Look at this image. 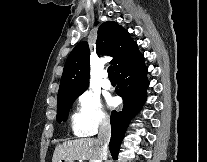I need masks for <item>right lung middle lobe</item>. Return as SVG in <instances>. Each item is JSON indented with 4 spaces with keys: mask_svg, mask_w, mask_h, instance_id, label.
Returning a JSON list of instances; mask_svg holds the SVG:
<instances>
[{
    "mask_svg": "<svg viewBox=\"0 0 207 162\" xmlns=\"http://www.w3.org/2000/svg\"><path fill=\"white\" fill-rule=\"evenodd\" d=\"M78 96H68L58 99L57 121H66L72 103Z\"/></svg>",
    "mask_w": 207,
    "mask_h": 162,
    "instance_id": "obj_1",
    "label": "right lung middle lobe"
}]
</instances>
